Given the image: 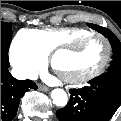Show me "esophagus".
<instances>
[{
	"mask_svg": "<svg viewBox=\"0 0 121 121\" xmlns=\"http://www.w3.org/2000/svg\"><path fill=\"white\" fill-rule=\"evenodd\" d=\"M38 87H39V89L42 90V91H45V92H46V91H49V88H47V87H45V86H43V85H39Z\"/></svg>",
	"mask_w": 121,
	"mask_h": 121,
	"instance_id": "obj_1",
	"label": "esophagus"
}]
</instances>
